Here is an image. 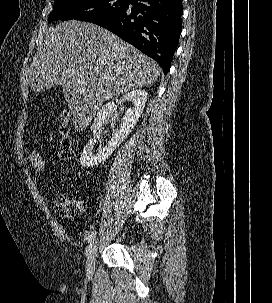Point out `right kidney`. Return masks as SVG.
Instances as JSON below:
<instances>
[{
  "instance_id": "ca27d5eb",
  "label": "right kidney",
  "mask_w": 272,
  "mask_h": 303,
  "mask_svg": "<svg viewBox=\"0 0 272 303\" xmlns=\"http://www.w3.org/2000/svg\"><path fill=\"white\" fill-rule=\"evenodd\" d=\"M147 95L145 90H133L124 94L117 104L114 102L108 103L99 110L91 127L93 138L86 144L80 157L82 167L90 168L104 162L124 141L139 120L147 101ZM127 101L132 102L133 107L126 110L119 130L114 133L113 138L103 148L93 154L92 147L97 142L98 134L102 131V125L116 112L118 104Z\"/></svg>"
}]
</instances>
